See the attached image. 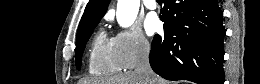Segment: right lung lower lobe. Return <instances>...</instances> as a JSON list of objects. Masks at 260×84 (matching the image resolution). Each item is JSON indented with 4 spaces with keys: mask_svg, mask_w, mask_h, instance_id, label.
Instances as JSON below:
<instances>
[{
    "mask_svg": "<svg viewBox=\"0 0 260 84\" xmlns=\"http://www.w3.org/2000/svg\"><path fill=\"white\" fill-rule=\"evenodd\" d=\"M164 37L155 35L149 56L167 80L224 83L225 29L217 0H164Z\"/></svg>",
    "mask_w": 260,
    "mask_h": 84,
    "instance_id": "98d812e1",
    "label": "right lung lower lobe"
}]
</instances>
